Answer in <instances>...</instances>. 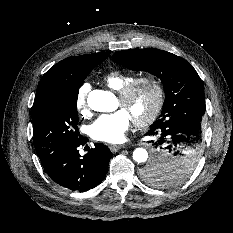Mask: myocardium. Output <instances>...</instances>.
I'll list each match as a JSON object with an SVG mask.
<instances>
[{
  "label": "myocardium",
  "instance_id": "myocardium-1",
  "mask_svg": "<svg viewBox=\"0 0 233 233\" xmlns=\"http://www.w3.org/2000/svg\"><path fill=\"white\" fill-rule=\"evenodd\" d=\"M144 84H148L152 87L154 91V102L150 112L145 117L133 119L134 124L140 128H146L153 124L163 110L165 104V89L162 80L152 73L143 74L135 77L118 92L119 100L122 103H127L131 99L135 90Z\"/></svg>",
  "mask_w": 233,
  "mask_h": 233
}]
</instances>
